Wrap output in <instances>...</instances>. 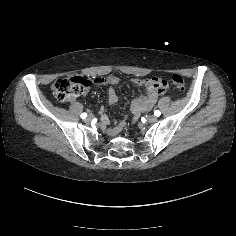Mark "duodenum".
<instances>
[{
    "instance_id": "obj_1",
    "label": "duodenum",
    "mask_w": 236,
    "mask_h": 236,
    "mask_svg": "<svg viewBox=\"0 0 236 236\" xmlns=\"http://www.w3.org/2000/svg\"><path fill=\"white\" fill-rule=\"evenodd\" d=\"M155 86H157L156 84H150V95L147 97V98H143V99H140L139 101L136 102V108H141L143 107L147 100H149L150 98H153L154 95L156 94V91H155Z\"/></svg>"
}]
</instances>
